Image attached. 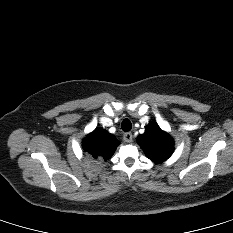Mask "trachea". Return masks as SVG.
<instances>
[{
  "label": "trachea",
  "instance_id": "trachea-1",
  "mask_svg": "<svg viewBox=\"0 0 233 233\" xmlns=\"http://www.w3.org/2000/svg\"><path fill=\"white\" fill-rule=\"evenodd\" d=\"M121 128L123 131L128 132L132 129V124L129 119H124L121 123Z\"/></svg>",
  "mask_w": 233,
  "mask_h": 233
}]
</instances>
